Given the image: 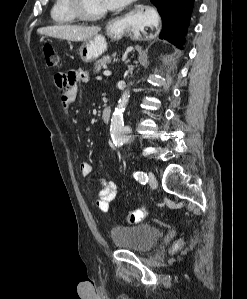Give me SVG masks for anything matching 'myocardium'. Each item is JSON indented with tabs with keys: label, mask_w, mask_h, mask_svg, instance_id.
Here are the masks:
<instances>
[{
	"label": "myocardium",
	"mask_w": 247,
	"mask_h": 299,
	"mask_svg": "<svg viewBox=\"0 0 247 299\" xmlns=\"http://www.w3.org/2000/svg\"><path fill=\"white\" fill-rule=\"evenodd\" d=\"M69 5L72 10V12L75 14V16L84 21H94L101 19L107 14V10H101L99 12H89L86 9L85 1L84 0H69Z\"/></svg>",
	"instance_id": "f54148a6"
}]
</instances>
